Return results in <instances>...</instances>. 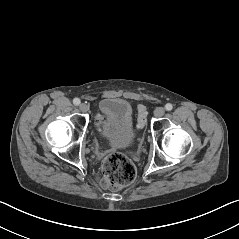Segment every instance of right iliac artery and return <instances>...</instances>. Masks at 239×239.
I'll return each mask as SVG.
<instances>
[{
  "label": "right iliac artery",
  "mask_w": 239,
  "mask_h": 239,
  "mask_svg": "<svg viewBox=\"0 0 239 239\" xmlns=\"http://www.w3.org/2000/svg\"><path fill=\"white\" fill-rule=\"evenodd\" d=\"M73 104L74 105H79L80 104V99H78V98H75L74 100H73Z\"/></svg>",
  "instance_id": "right-iliac-artery-1"
}]
</instances>
